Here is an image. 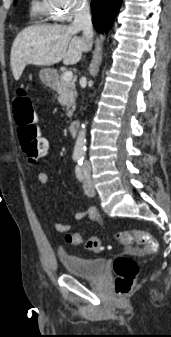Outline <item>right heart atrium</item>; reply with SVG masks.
<instances>
[{"mask_svg":"<svg viewBox=\"0 0 171 337\" xmlns=\"http://www.w3.org/2000/svg\"><path fill=\"white\" fill-rule=\"evenodd\" d=\"M50 16L60 22H69L87 6V0H46Z\"/></svg>","mask_w":171,"mask_h":337,"instance_id":"obj_1","label":"right heart atrium"}]
</instances>
